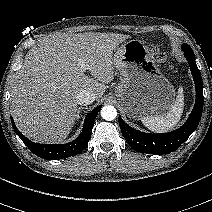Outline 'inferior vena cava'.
<instances>
[{
	"label": "inferior vena cava",
	"mask_w": 212,
	"mask_h": 212,
	"mask_svg": "<svg viewBox=\"0 0 212 212\" xmlns=\"http://www.w3.org/2000/svg\"><path fill=\"white\" fill-rule=\"evenodd\" d=\"M76 98H77V103L79 105H88L94 102L96 96L94 93H91L86 90H81L78 92Z\"/></svg>",
	"instance_id": "obj_1"
}]
</instances>
